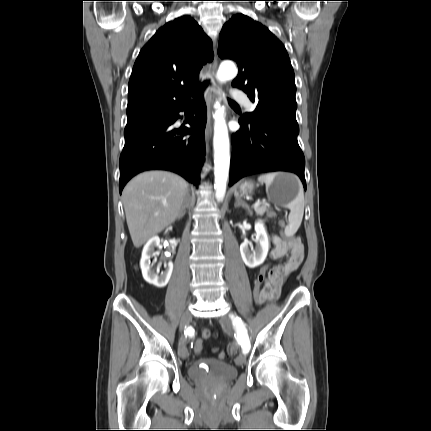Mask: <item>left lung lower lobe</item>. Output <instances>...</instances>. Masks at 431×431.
I'll use <instances>...</instances> for the list:
<instances>
[{
    "label": "left lung lower lobe",
    "mask_w": 431,
    "mask_h": 431,
    "mask_svg": "<svg viewBox=\"0 0 431 431\" xmlns=\"http://www.w3.org/2000/svg\"><path fill=\"white\" fill-rule=\"evenodd\" d=\"M241 129L232 136L229 185L260 172L296 173L306 189L305 158L297 141L298 124L273 117L239 120Z\"/></svg>",
    "instance_id": "left-lung-lower-lobe-1"
}]
</instances>
